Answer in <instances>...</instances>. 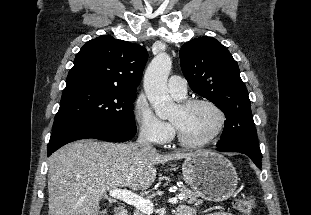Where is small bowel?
<instances>
[{
	"instance_id": "obj_1",
	"label": "small bowel",
	"mask_w": 311,
	"mask_h": 215,
	"mask_svg": "<svg viewBox=\"0 0 311 215\" xmlns=\"http://www.w3.org/2000/svg\"><path fill=\"white\" fill-rule=\"evenodd\" d=\"M176 215H196V210L189 206H181L178 208ZM206 215H233L227 212H214Z\"/></svg>"
}]
</instances>
